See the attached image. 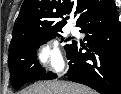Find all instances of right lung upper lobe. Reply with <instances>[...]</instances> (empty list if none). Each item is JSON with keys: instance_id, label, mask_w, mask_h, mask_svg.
Masks as SVG:
<instances>
[{"instance_id": "cb5924a9", "label": "right lung upper lobe", "mask_w": 121, "mask_h": 94, "mask_svg": "<svg viewBox=\"0 0 121 94\" xmlns=\"http://www.w3.org/2000/svg\"><path fill=\"white\" fill-rule=\"evenodd\" d=\"M113 0H25L15 21L10 44L31 31H58L66 24L63 18L72 9L79 14L76 26L87 17L104 10Z\"/></svg>"}]
</instances>
